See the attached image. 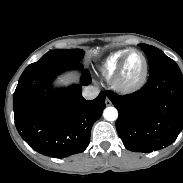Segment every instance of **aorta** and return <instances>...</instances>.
I'll return each instance as SVG.
<instances>
[{
  "instance_id": "762f6f07",
  "label": "aorta",
  "mask_w": 183,
  "mask_h": 183,
  "mask_svg": "<svg viewBox=\"0 0 183 183\" xmlns=\"http://www.w3.org/2000/svg\"><path fill=\"white\" fill-rule=\"evenodd\" d=\"M103 116L107 121H115L118 118V111L114 107H107L103 112Z\"/></svg>"
}]
</instances>
